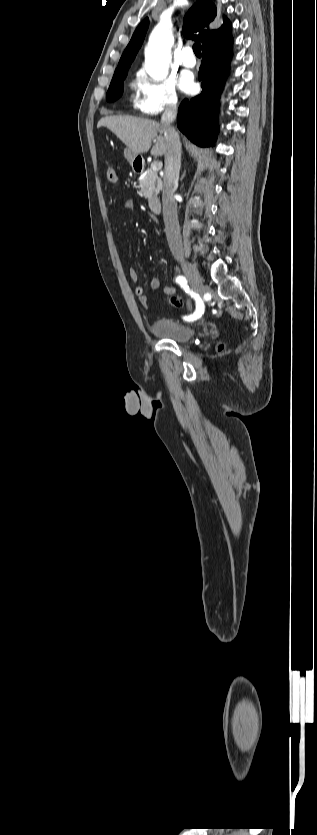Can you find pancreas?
<instances>
[{
    "instance_id": "1",
    "label": "pancreas",
    "mask_w": 317,
    "mask_h": 835,
    "mask_svg": "<svg viewBox=\"0 0 317 835\" xmlns=\"http://www.w3.org/2000/svg\"><path fill=\"white\" fill-rule=\"evenodd\" d=\"M139 183L141 188L139 194L142 197L147 199L149 203L157 200V195L162 189V181L157 176L156 171H146V173L141 176Z\"/></svg>"
}]
</instances>
